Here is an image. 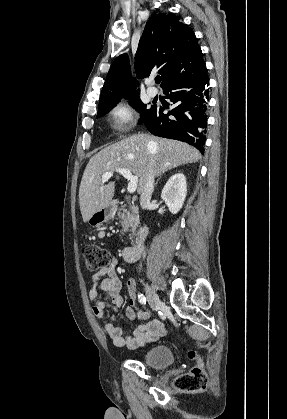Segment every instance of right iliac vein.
I'll list each match as a JSON object with an SVG mask.
<instances>
[{
    "instance_id": "obj_1",
    "label": "right iliac vein",
    "mask_w": 287,
    "mask_h": 419,
    "mask_svg": "<svg viewBox=\"0 0 287 419\" xmlns=\"http://www.w3.org/2000/svg\"><path fill=\"white\" fill-rule=\"evenodd\" d=\"M144 286H145L147 299H148V302H149L151 308L153 310H157L161 305V301H160L158 295L156 294L154 289L148 283H144Z\"/></svg>"
}]
</instances>
